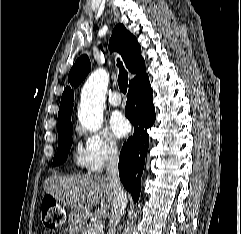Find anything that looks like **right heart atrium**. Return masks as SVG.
Returning <instances> with one entry per match:
<instances>
[{
  "mask_svg": "<svg viewBox=\"0 0 241 234\" xmlns=\"http://www.w3.org/2000/svg\"><path fill=\"white\" fill-rule=\"evenodd\" d=\"M85 136V153L87 168L92 172H100L108 163L119 156L118 141L107 131L82 132Z\"/></svg>",
  "mask_w": 241,
  "mask_h": 234,
  "instance_id": "obj_1",
  "label": "right heart atrium"
}]
</instances>
